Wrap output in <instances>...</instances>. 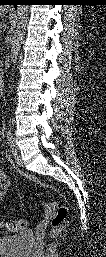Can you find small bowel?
<instances>
[{
	"mask_svg": "<svg viewBox=\"0 0 106 257\" xmlns=\"http://www.w3.org/2000/svg\"><path fill=\"white\" fill-rule=\"evenodd\" d=\"M9 186H10V182L7 179L6 174L3 171V169H1L0 170V198H1V200L4 197V195L6 194Z\"/></svg>",
	"mask_w": 106,
	"mask_h": 257,
	"instance_id": "1",
	"label": "small bowel"
}]
</instances>
